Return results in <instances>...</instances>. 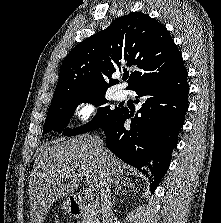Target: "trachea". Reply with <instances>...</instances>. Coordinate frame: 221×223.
Here are the masks:
<instances>
[{"label": "trachea", "instance_id": "obj_1", "mask_svg": "<svg viewBox=\"0 0 221 223\" xmlns=\"http://www.w3.org/2000/svg\"><path fill=\"white\" fill-rule=\"evenodd\" d=\"M128 79V76H124L123 80L126 81Z\"/></svg>", "mask_w": 221, "mask_h": 223}]
</instances>
